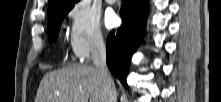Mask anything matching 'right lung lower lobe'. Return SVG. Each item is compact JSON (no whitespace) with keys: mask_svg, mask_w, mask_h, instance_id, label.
<instances>
[{"mask_svg":"<svg viewBox=\"0 0 221 102\" xmlns=\"http://www.w3.org/2000/svg\"><path fill=\"white\" fill-rule=\"evenodd\" d=\"M148 13V0H126L120 10L122 26L107 37V65L125 87L131 56L143 40Z\"/></svg>","mask_w":221,"mask_h":102,"instance_id":"98d812e1","label":"right lung lower lobe"}]
</instances>
